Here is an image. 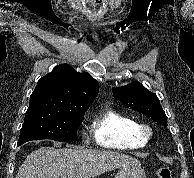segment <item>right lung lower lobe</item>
<instances>
[{
    "mask_svg": "<svg viewBox=\"0 0 194 178\" xmlns=\"http://www.w3.org/2000/svg\"><path fill=\"white\" fill-rule=\"evenodd\" d=\"M21 145V143H18V146H20Z\"/></svg>",
    "mask_w": 194,
    "mask_h": 178,
    "instance_id": "98d812e1",
    "label": "right lung lower lobe"
}]
</instances>
